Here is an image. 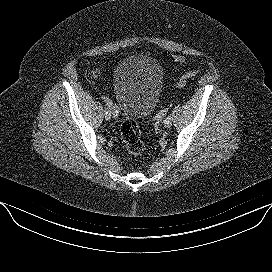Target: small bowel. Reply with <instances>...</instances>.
<instances>
[{
  "mask_svg": "<svg viewBox=\"0 0 272 272\" xmlns=\"http://www.w3.org/2000/svg\"><path fill=\"white\" fill-rule=\"evenodd\" d=\"M175 60H176L177 62H183V61H184V58L181 57V56H178V57L175 58Z\"/></svg>",
  "mask_w": 272,
  "mask_h": 272,
  "instance_id": "1",
  "label": "small bowel"
}]
</instances>
